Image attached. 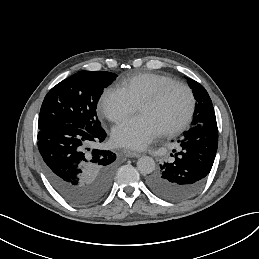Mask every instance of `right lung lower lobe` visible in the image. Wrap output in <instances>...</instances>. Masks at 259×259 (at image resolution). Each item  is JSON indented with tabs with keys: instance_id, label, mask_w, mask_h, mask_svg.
Masks as SVG:
<instances>
[{
	"instance_id": "obj_1",
	"label": "right lung lower lobe",
	"mask_w": 259,
	"mask_h": 259,
	"mask_svg": "<svg viewBox=\"0 0 259 259\" xmlns=\"http://www.w3.org/2000/svg\"><path fill=\"white\" fill-rule=\"evenodd\" d=\"M106 136L102 127L85 130L73 124L39 130L38 149L45 174L53 188L75 206L97 203L111 187L116 154L97 148Z\"/></svg>"
}]
</instances>
